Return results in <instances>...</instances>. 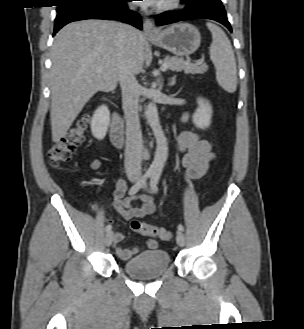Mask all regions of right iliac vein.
<instances>
[{
  "instance_id": "obj_1",
  "label": "right iliac vein",
  "mask_w": 304,
  "mask_h": 329,
  "mask_svg": "<svg viewBox=\"0 0 304 329\" xmlns=\"http://www.w3.org/2000/svg\"><path fill=\"white\" fill-rule=\"evenodd\" d=\"M131 180L135 181V178H132ZM112 241H113V232L109 231L105 236V245L110 246L112 244Z\"/></svg>"
}]
</instances>
